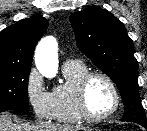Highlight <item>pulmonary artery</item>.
Returning <instances> with one entry per match:
<instances>
[{"label":"pulmonary artery","instance_id":"obj_1","mask_svg":"<svg viewBox=\"0 0 147 131\" xmlns=\"http://www.w3.org/2000/svg\"><path fill=\"white\" fill-rule=\"evenodd\" d=\"M75 60H69V61H67V62H74Z\"/></svg>","mask_w":147,"mask_h":131}]
</instances>
